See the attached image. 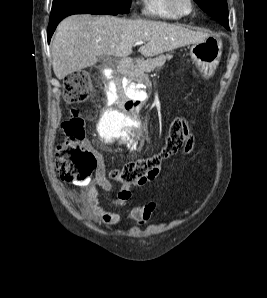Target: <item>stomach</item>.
<instances>
[{"label": "stomach", "instance_id": "1", "mask_svg": "<svg viewBox=\"0 0 267 298\" xmlns=\"http://www.w3.org/2000/svg\"><path fill=\"white\" fill-rule=\"evenodd\" d=\"M190 55L204 77L209 78L219 64L222 41L216 36H208L203 41L192 44Z\"/></svg>", "mask_w": 267, "mask_h": 298}]
</instances>
